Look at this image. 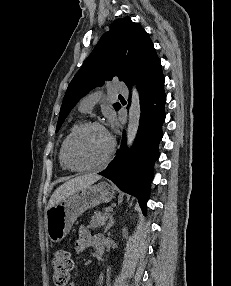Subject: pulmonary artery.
<instances>
[{
	"mask_svg": "<svg viewBox=\"0 0 231 286\" xmlns=\"http://www.w3.org/2000/svg\"><path fill=\"white\" fill-rule=\"evenodd\" d=\"M113 90L116 93L127 94L128 88L123 82L115 81L113 83ZM101 99L100 93H92L84 97L79 103V109L83 113H88L92 110L94 105Z\"/></svg>",
	"mask_w": 231,
	"mask_h": 286,
	"instance_id": "e3ab8cb5",
	"label": "pulmonary artery"
}]
</instances>
